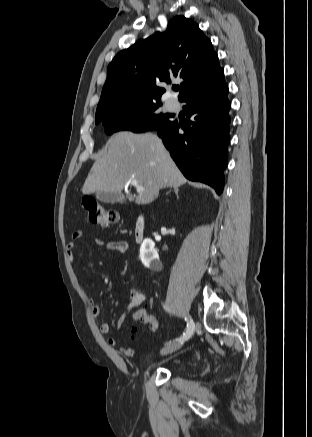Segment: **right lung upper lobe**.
I'll return each instance as SVG.
<instances>
[{"instance_id": "1", "label": "right lung upper lobe", "mask_w": 312, "mask_h": 437, "mask_svg": "<svg viewBox=\"0 0 312 437\" xmlns=\"http://www.w3.org/2000/svg\"><path fill=\"white\" fill-rule=\"evenodd\" d=\"M223 70L210 40L184 16L169 21L164 33L119 52L107 68L96 119L129 105L160 101L156 83L182 78L179 100L214 81Z\"/></svg>"}]
</instances>
